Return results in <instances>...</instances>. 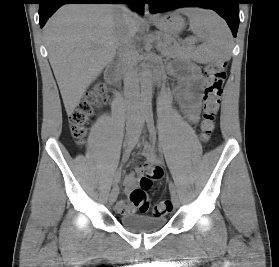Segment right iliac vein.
<instances>
[{
    "mask_svg": "<svg viewBox=\"0 0 279 267\" xmlns=\"http://www.w3.org/2000/svg\"><path fill=\"white\" fill-rule=\"evenodd\" d=\"M137 126L129 125L127 128V140H129L135 133ZM118 196V186L115 185L109 194V202L113 204Z\"/></svg>",
    "mask_w": 279,
    "mask_h": 267,
    "instance_id": "63e3f726",
    "label": "right iliac vein"
}]
</instances>
